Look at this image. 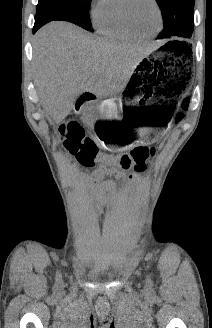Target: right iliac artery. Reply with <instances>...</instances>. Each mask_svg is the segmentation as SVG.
I'll use <instances>...</instances> for the list:
<instances>
[{
  "instance_id": "right-iliac-artery-1",
  "label": "right iliac artery",
  "mask_w": 212,
  "mask_h": 328,
  "mask_svg": "<svg viewBox=\"0 0 212 328\" xmlns=\"http://www.w3.org/2000/svg\"><path fill=\"white\" fill-rule=\"evenodd\" d=\"M59 280H60V274L58 273V274L56 275V281L59 282Z\"/></svg>"
}]
</instances>
